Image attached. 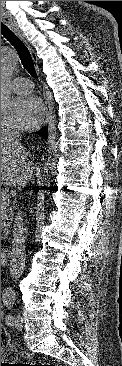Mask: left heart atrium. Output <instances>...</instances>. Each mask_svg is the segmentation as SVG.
Returning <instances> with one entry per match:
<instances>
[{"label":"left heart atrium","instance_id":"obj_1","mask_svg":"<svg viewBox=\"0 0 122 366\" xmlns=\"http://www.w3.org/2000/svg\"><path fill=\"white\" fill-rule=\"evenodd\" d=\"M43 114L42 102L34 96H18L11 101L9 120L17 128L36 127L41 122Z\"/></svg>","mask_w":122,"mask_h":366}]
</instances>
